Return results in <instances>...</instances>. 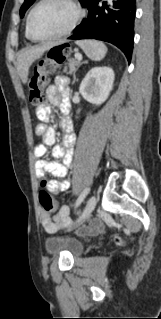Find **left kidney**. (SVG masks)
<instances>
[{
  "label": "left kidney",
  "instance_id": "obj_1",
  "mask_svg": "<svg viewBox=\"0 0 161 319\" xmlns=\"http://www.w3.org/2000/svg\"><path fill=\"white\" fill-rule=\"evenodd\" d=\"M114 71L112 68L94 67L82 80L79 92L88 102L101 105L108 98L113 88Z\"/></svg>",
  "mask_w": 161,
  "mask_h": 319
}]
</instances>
